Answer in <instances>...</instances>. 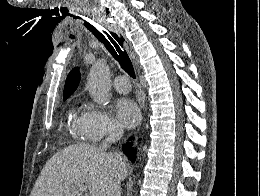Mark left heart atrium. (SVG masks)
<instances>
[{"instance_id":"obj_1","label":"left heart atrium","mask_w":260,"mask_h":196,"mask_svg":"<svg viewBox=\"0 0 260 196\" xmlns=\"http://www.w3.org/2000/svg\"><path fill=\"white\" fill-rule=\"evenodd\" d=\"M115 112L119 123L126 128L135 126L140 119V111L137 105L128 98H121L117 101Z\"/></svg>"}]
</instances>
